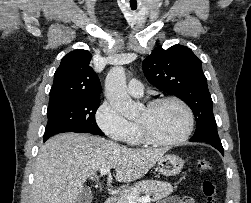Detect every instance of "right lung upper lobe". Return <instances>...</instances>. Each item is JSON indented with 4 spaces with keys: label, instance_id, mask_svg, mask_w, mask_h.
Returning <instances> with one entry per match:
<instances>
[{
    "label": "right lung upper lobe",
    "instance_id": "cb5924a9",
    "mask_svg": "<svg viewBox=\"0 0 251 203\" xmlns=\"http://www.w3.org/2000/svg\"><path fill=\"white\" fill-rule=\"evenodd\" d=\"M90 59V52L82 49L62 58L54 74L49 107L82 99H99L100 80L89 66Z\"/></svg>",
    "mask_w": 251,
    "mask_h": 203
}]
</instances>
